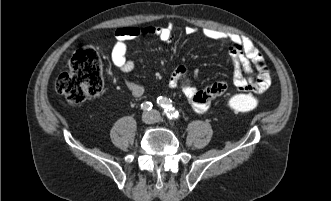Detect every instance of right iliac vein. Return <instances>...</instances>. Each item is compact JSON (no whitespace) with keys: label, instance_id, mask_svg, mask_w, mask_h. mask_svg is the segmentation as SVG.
<instances>
[{"label":"right iliac vein","instance_id":"obj_1","mask_svg":"<svg viewBox=\"0 0 331 201\" xmlns=\"http://www.w3.org/2000/svg\"><path fill=\"white\" fill-rule=\"evenodd\" d=\"M153 119V116L151 113H145L143 114L142 116V120L145 122V123H150Z\"/></svg>","mask_w":331,"mask_h":201}]
</instances>
